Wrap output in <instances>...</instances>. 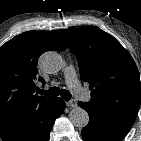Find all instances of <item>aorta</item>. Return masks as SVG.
<instances>
[{"instance_id": "762f6f07", "label": "aorta", "mask_w": 141, "mask_h": 141, "mask_svg": "<svg viewBox=\"0 0 141 141\" xmlns=\"http://www.w3.org/2000/svg\"><path fill=\"white\" fill-rule=\"evenodd\" d=\"M62 64V57L55 51L45 52L39 58L40 68L48 74L59 72ZM69 119L72 124L79 129H83L89 123V115L87 111L81 107L73 108L69 113Z\"/></svg>"}]
</instances>
